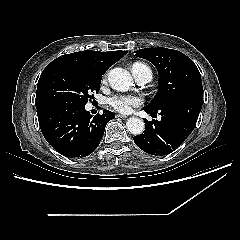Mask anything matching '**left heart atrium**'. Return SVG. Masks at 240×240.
<instances>
[{
	"instance_id": "left-heart-atrium-1",
	"label": "left heart atrium",
	"mask_w": 240,
	"mask_h": 240,
	"mask_svg": "<svg viewBox=\"0 0 240 240\" xmlns=\"http://www.w3.org/2000/svg\"><path fill=\"white\" fill-rule=\"evenodd\" d=\"M109 105L118 112L128 113L132 107L142 103V98L137 95L116 94L109 99Z\"/></svg>"
}]
</instances>
